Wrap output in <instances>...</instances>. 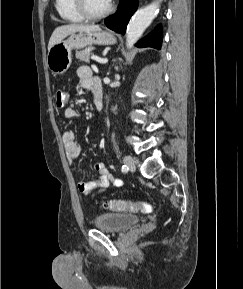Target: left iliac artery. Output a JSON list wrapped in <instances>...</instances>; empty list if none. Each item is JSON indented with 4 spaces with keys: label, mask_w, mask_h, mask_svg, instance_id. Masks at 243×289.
Wrapping results in <instances>:
<instances>
[{
    "label": "left iliac artery",
    "mask_w": 243,
    "mask_h": 289,
    "mask_svg": "<svg viewBox=\"0 0 243 289\" xmlns=\"http://www.w3.org/2000/svg\"><path fill=\"white\" fill-rule=\"evenodd\" d=\"M121 170H122V172H127L128 171V167L126 165H123Z\"/></svg>",
    "instance_id": "obj_1"
}]
</instances>
